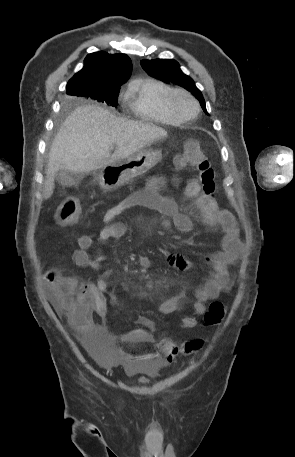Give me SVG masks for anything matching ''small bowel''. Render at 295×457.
Listing matches in <instances>:
<instances>
[{"label": "small bowel", "mask_w": 295, "mask_h": 457, "mask_svg": "<svg viewBox=\"0 0 295 457\" xmlns=\"http://www.w3.org/2000/svg\"><path fill=\"white\" fill-rule=\"evenodd\" d=\"M165 186L166 180L164 178H154L148 182L145 188L134 192L121 203L109 209L103 218V226L99 232L98 241L103 243L109 239L123 237L127 232V228L122 222L114 221V219L120 213L134 206H144L158 211L162 216L170 218L181 233L188 234L192 230V221L188 215L179 211L177 204L172 199L160 193V190ZM184 196L194 202L197 210L209 226L219 228L222 231L221 250L206 258L211 264V276L201 288L196 290V300L193 304L194 315H188L182 319L183 327L189 329L197 326V317L205 313L206 302L217 299L222 293L231 288L232 283L229 278L228 267L239 256L242 243L234 216L227 210L220 208L214 198L204 195L198 180L190 179L186 183ZM92 244L93 239L90 236H80L78 248L73 252V261L79 267L99 270L105 260V256L100 255L92 259L88 254V249ZM138 262L142 267L150 265V259L144 255L139 256ZM167 262L178 270H186L191 267V262L181 255H170L167 258ZM112 272V269L105 270L96 284L86 286V295L89 300L87 313L78 319L68 317L70 326L75 330L79 338H106L104 328L95 324L91 315L94 313L103 319L106 318L105 292L109 288L108 278ZM46 281L55 302L59 304L55 294L56 283L52 271L47 273ZM110 296L116 306L123 305L122 300L115 292H111ZM184 298L185 294L180 292L163 301L158 306V311L164 315L171 314L178 310ZM139 323L153 329V323L147 318L141 317ZM166 342L171 341H164L161 345Z\"/></svg>", "instance_id": "1"}]
</instances>
